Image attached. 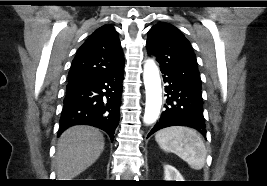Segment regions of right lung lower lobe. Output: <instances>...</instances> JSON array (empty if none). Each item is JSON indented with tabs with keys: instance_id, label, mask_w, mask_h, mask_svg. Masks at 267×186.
Returning <instances> with one entry per match:
<instances>
[{
	"instance_id": "obj_1",
	"label": "right lung lower lobe",
	"mask_w": 267,
	"mask_h": 186,
	"mask_svg": "<svg viewBox=\"0 0 267 186\" xmlns=\"http://www.w3.org/2000/svg\"><path fill=\"white\" fill-rule=\"evenodd\" d=\"M124 64L68 80L58 135L73 125H91L114 139L119 124Z\"/></svg>"
}]
</instances>
